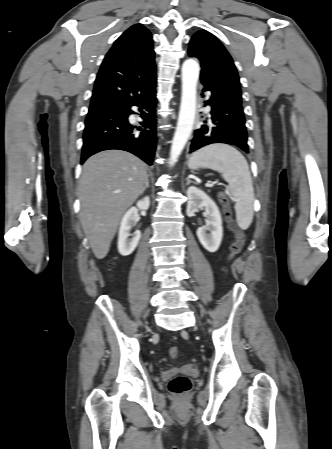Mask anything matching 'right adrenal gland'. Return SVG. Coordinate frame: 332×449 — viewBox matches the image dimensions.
<instances>
[{
	"instance_id": "right-adrenal-gland-1",
	"label": "right adrenal gland",
	"mask_w": 332,
	"mask_h": 449,
	"mask_svg": "<svg viewBox=\"0 0 332 449\" xmlns=\"http://www.w3.org/2000/svg\"><path fill=\"white\" fill-rule=\"evenodd\" d=\"M149 187V175H147V179H146V184H145V186H144V188H143V191H142V193L146 190V188H148Z\"/></svg>"
}]
</instances>
